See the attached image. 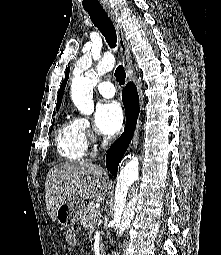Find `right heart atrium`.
Segmentation results:
<instances>
[{
    "mask_svg": "<svg viewBox=\"0 0 221 255\" xmlns=\"http://www.w3.org/2000/svg\"><path fill=\"white\" fill-rule=\"evenodd\" d=\"M80 125L82 128L83 133L85 134V136H90L92 133V128H91V124L90 122L86 119V118H80Z\"/></svg>",
    "mask_w": 221,
    "mask_h": 255,
    "instance_id": "right-heart-atrium-1",
    "label": "right heart atrium"
}]
</instances>
